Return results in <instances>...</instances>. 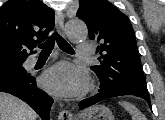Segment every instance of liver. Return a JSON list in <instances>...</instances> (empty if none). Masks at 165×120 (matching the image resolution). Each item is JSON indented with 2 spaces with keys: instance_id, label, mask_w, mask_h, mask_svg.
<instances>
[{
  "instance_id": "obj_1",
  "label": "liver",
  "mask_w": 165,
  "mask_h": 120,
  "mask_svg": "<svg viewBox=\"0 0 165 120\" xmlns=\"http://www.w3.org/2000/svg\"><path fill=\"white\" fill-rule=\"evenodd\" d=\"M36 112L19 98L0 92V120H36Z\"/></svg>"
}]
</instances>
